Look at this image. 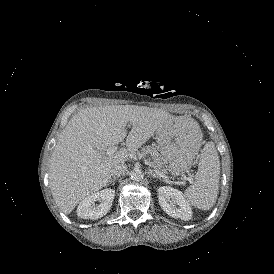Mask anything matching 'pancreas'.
Wrapping results in <instances>:
<instances>
[{
	"mask_svg": "<svg viewBox=\"0 0 274 274\" xmlns=\"http://www.w3.org/2000/svg\"><path fill=\"white\" fill-rule=\"evenodd\" d=\"M138 156L140 157H146L148 154L153 159V166L157 169L161 170L164 173H167V170L164 168L165 164L167 163V160L161 156H159V153L157 150L152 146H145L141 148V151H139Z\"/></svg>",
	"mask_w": 274,
	"mask_h": 274,
	"instance_id": "cf45deb5",
	"label": "pancreas"
}]
</instances>
